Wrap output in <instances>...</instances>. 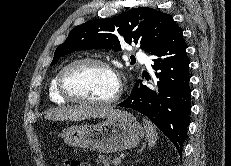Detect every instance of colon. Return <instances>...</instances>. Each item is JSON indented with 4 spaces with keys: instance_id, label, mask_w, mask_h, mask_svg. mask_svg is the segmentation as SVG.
Instances as JSON below:
<instances>
[{
    "instance_id": "colon-1",
    "label": "colon",
    "mask_w": 231,
    "mask_h": 166,
    "mask_svg": "<svg viewBox=\"0 0 231 166\" xmlns=\"http://www.w3.org/2000/svg\"><path fill=\"white\" fill-rule=\"evenodd\" d=\"M65 165L66 166H84L83 163H80L76 160H68V161H66Z\"/></svg>"
}]
</instances>
